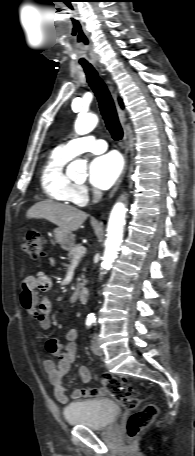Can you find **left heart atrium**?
I'll return each instance as SVG.
<instances>
[{"mask_svg":"<svg viewBox=\"0 0 195 456\" xmlns=\"http://www.w3.org/2000/svg\"><path fill=\"white\" fill-rule=\"evenodd\" d=\"M122 170V162L118 154L110 152L95 157L89 165V180L99 189L110 188Z\"/></svg>","mask_w":195,"mask_h":456,"instance_id":"obj_1","label":"left heart atrium"}]
</instances>
